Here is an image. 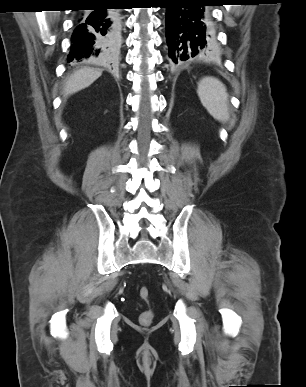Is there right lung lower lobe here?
Segmentation results:
<instances>
[{
  "instance_id": "obj_1",
  "label": "right lung lower lobe",
  "mask_w": 306,
  "mask_h": 387,
  "mask_svg": "<svg viewBox=\"0 0 306 387\" xmlns=\"http://www.w3.org/2000/svg\"><path fill=\"white\" fill-rule=\"evenodd\" d=\"M90 4L94 10L77 13L68 61L111 63L119 50V7L106 2ZM109 6L115 9H107Z\"/></svg>"
}]
</instances>
